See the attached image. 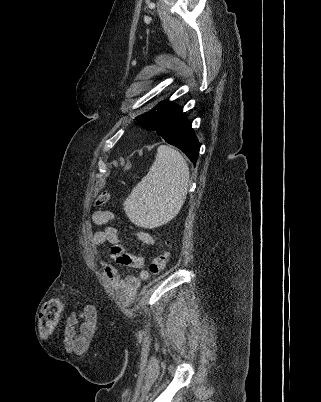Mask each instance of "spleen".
<instances>
[{
    "mask_svg": "<svg viewBox=\"0 0 321 402\" xmlns=\"http://www.w3.org/2000/svg\"><path fill=\"white\" fill-rule=\"evenodd\" d=\"M189 178L188 164L179 151L160 145L149 172L123 203L126 215L144 228L164 224L183 206Z\"/></svg>",
    "mask_w": 321,
    "mask_h": 402,
    "instance_id": "1",
    "label": "spleen"
}]
</instances>
